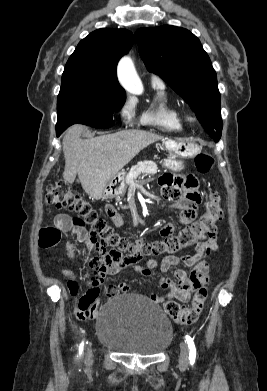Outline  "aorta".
<instances>
[{
	"instance_id": "obj_1",
	"label": "aorta",
	"mask_w": 267,
	"mask_h": 391,
	"mask_svg": "<svg viewBox=\"0 0 267 391\" xmlns=\"http://www.w3.org/2000/svg\"><path fill=\"white\" fill-rule=\"evenodd\" d=\"M118 78L121 85L131 94L140 95L143 85L137 75L133 61L129 56L123 57L118 65Z\"/></svg>"
}]
</instances>
